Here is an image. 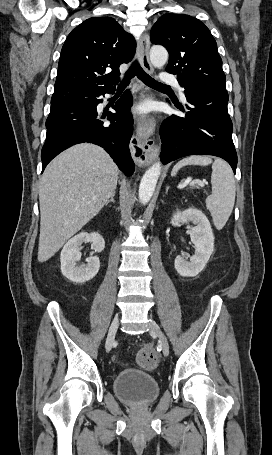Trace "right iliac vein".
Wrapping results in <instances>:
<instances>
[{
  "label": "right iliac vein",
  "mask_w": 272,
  "mask_h": 455,
  "mask_svg": "<svg viewBox=\"0 0 272 455\" xmlns=\"http://www.w3.org/2000/svg\"><path fill=\"white\" fill-rule=\"evenodd\" d=\"M118 325H119V318H118V316H116L113 319V321L109 327L108 335L106 338L105 348H106L107 352H109L112 349V346H113L114 340H115V335H116V332L118 329Z\"/></svg>",
  "instance_id": "right-iliac-vein-1"
}]
</instances>
